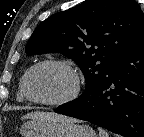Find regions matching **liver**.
<instances>
[{
    "label": "liver",
    "instance_id": "6515ba94",
    "mask_svg": "<svg viewBox=\"0 0 144 137\" xmlns=\"http://www.w3.org/2000/svg\"><path fill=\"white\" fill-rule=\"evenodd\" d=\"M22 119H29L31 121H73L64 115L53 113V112H31L22 117Z\"/></svg>",
    "mask_w": 144,
    "mask_h": 137
}]
</instances>
